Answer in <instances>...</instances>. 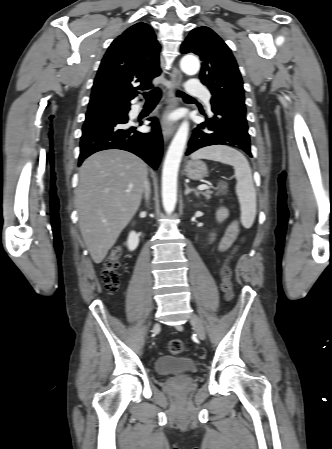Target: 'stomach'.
<instances>
[{"label": "stomach", "instance_id": "obj_1", "mask_svg": "<svg viewBox=\"0 0 332 449\" xmlns=\"http://www.w3.org/2000/svg\"><path fill=\"white\" fill-rule=\"evenodd\" d=\"M185 174L192 180H201L208 174L207 166L200 160H191L185 166Z\"/></svg>", "mask_w": 332, "mask_h": 449}]
</instances>
